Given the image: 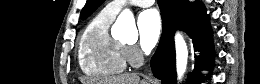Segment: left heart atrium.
I'll return each mask as SVG.
<instances>
[{"label": "left heart atrium", "instance_id": "1", "mask_svg": "<svg viewBox=\"0 0 260 84\" xmlns=\"http://www.w3.org/2000/svg\"><path fill=\"white\" fill-rule=\"evenodd\" d=\"M139 43L144 51H150L156 45L161 32V18L157 10L148 9L138 18Z\"/></svg>", "mask_w": 260, "mask_h": 84}]
</instances>
